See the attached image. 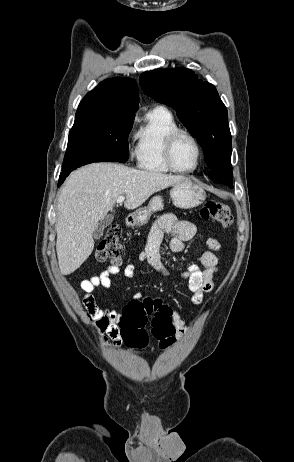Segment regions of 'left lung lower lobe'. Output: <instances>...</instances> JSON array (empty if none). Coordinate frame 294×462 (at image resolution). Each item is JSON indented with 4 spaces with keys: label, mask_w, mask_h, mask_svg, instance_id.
Instances as JSON below:
<instances>
[{
    "label": "left lung lower lobe",
    "mask_w": 294,
    "mask_h": 462,
    "mask_svg": "<svg viewBox=\"0 0 294 462\" xmlns=\"http://www.w3.org/2000/svg\"><path fill=\"white\" fill-rule=\"evenodd\" d=\"M210 179L225 184L231 188H233V173L232 171L228 172H220V171H212L210 174Z\"/></svg>",
    "instance_id": "left-lung-lower-lobe-1"
}]
</instances>
